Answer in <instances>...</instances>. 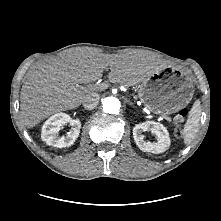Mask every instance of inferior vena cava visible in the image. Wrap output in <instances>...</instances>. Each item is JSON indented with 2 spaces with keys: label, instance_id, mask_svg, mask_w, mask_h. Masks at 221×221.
<instances>
[{
  "label": "inferior vena cava",
  "instance_id": "inferior-vena-cava-1",
  "mask_svg": "<svg viewBox=\"0 0 221 221\" xmlns=\"http://www.w3.org/2000/svg\"><path fill=\"white\" fill-rule=\"evenodd\" d=\"M98 103H99V95L98 94L88 95L83 100V107L87 110H92L98 105Z\"/></svg>",
  "mask_w": 221,
  "mask_h": 221
}]
</instances>
